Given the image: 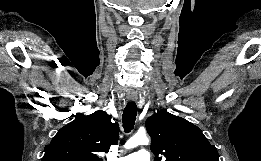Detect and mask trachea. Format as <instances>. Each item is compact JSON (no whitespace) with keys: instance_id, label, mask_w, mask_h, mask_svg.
Segmentation results:
<instances>
[{"instance_id":"1","label":"trachea","mask_w":261,"mask_h":161,"mask_svg":"<svg viewBox=\"0 0 261 161\" xmlns=\"http://www.w3.org/2000/svg\"><path fill=\"white\" fill-rule=\"evenodd\" d=\"M137 105L135 102H128L122 116L123 128L126 133H129L134 125L137 116Z\"/></svg>"}]
</instances>
